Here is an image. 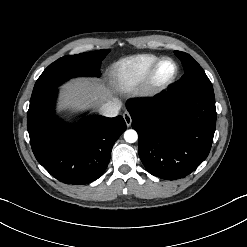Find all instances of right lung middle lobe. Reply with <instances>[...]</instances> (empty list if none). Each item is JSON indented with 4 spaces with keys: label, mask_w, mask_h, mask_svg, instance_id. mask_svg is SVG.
Returning <instances> with one entry per match:
<instances>
[{
    "label": "right lung middle lobe",
    "mask_w": 247,
    "mask_h": 247,
    "mask_svg": "<svg viewBox=\"0 0 247 247\" xmlns=\"http://www.w3.org/2000/svg\"><path fill=\"white\" fill-rule=\"evenodd\" d=\"M110 50L64 56L49 65L35 83L30 106L36 105L57 86L72 77L100 76L101 61Z\"/></svg>",
    "instance_id": "1"
}]
</instances>
